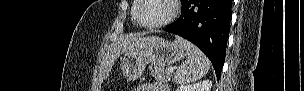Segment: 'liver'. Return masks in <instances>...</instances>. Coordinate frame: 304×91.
<instances>
[{
	"mask_svg": "<svg viewBox=\"0 0 304 91\" xmlns=\"http://www.w3.org/2000/svg\"><path fill=\"white\" fill-rule=\"evenodd\" d=\"M151 37L141 35H127L121 37L111 46L109 52L104 56L100 66V76L102 80L108 78L115 60L124 52L139 50L146 46Z\"/></svg>",
	"mask_w": 304,
	"mask_h": 91,
	"instance_id": "1",
	"label": "liver"
}]
</instances>
